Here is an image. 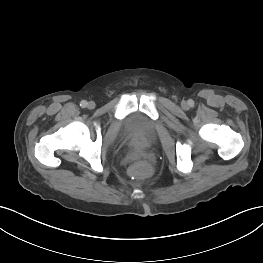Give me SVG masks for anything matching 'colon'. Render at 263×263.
Wrapping results in <instances>:
<instances>
[{
    "label": "colon",
    "mask_w": 263,
    "mask_h": 263,
    "mask_svg": "<svg viewBox=\"0 0 263 263\" xmlns=\"http://www.w3.org/2000/svg\"><path fill=\"white\" fill-rule=\"evenodd\" d=\"M130 173L133 176L144 178L150 175L151 166L145 161H138L131 166Z\"/></svg>",
    "instance_id": "colon-1"
}]
</instances>
